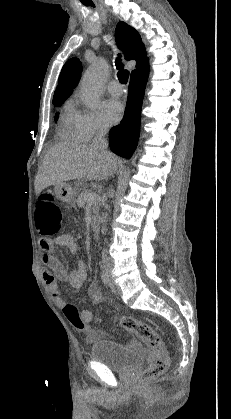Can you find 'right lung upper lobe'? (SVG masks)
<instances>
[{"mask_svg": "<svg viewBox=\"0 0 231 419\" xmlns=\"http://www.w3.org/2000/svg\"><path fill=\"white\" fill-rule=\"evenodd\" d=\"M117 45L125 53L127 60H136V68L131 72L139 70L149 62L146 57L144 44L139 33L124 22H119L115 32ZM82 72V64L76 57L68 60L60 73L58 86L55 90L53 101L66 99L73 92V88L77 85L78 79Z\"/></svg>", "mask_w": 231, "mask_h": 419, "instance_id": "1", "label": "right lung upper lobe"}]
</instances>
